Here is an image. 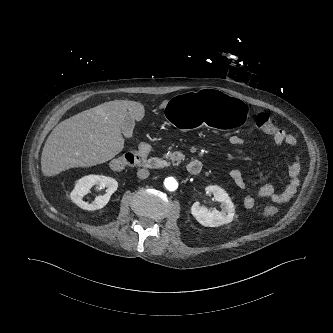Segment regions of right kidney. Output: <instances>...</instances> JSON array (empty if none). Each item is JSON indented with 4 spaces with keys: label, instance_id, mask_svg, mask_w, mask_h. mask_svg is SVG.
<instances>
[{
    "label": "right kidney",
    "instance_id": "ca27d5eb",
    "mask_svg": "<svg viewBox=\"0 0 333 333\" xmlns=\"http://www.w3.org/2000/svg\"><path fill=\"white\" fill-rule=\"evenodd\" d=\"M99 186L100 189L107 188V193L95 198L94 202L83 201L82 197L89 193L91 187ZM118 183L111 177L103 175H87L79 179L70 194L71 200L84 210H96L103 208L109 201L110 196L117 190Z\"/></svg>",
    "mask_w": 333,
    "mask_h": 333
}]
</instances>
